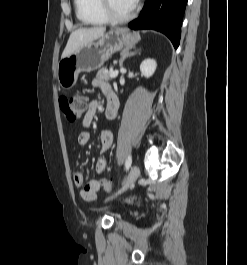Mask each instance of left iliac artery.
Returning a JSON list of instances; mask_svg holds the SVG:
<instances>
[{
  "instance_id": "obj_1",
  "label": "left iliac artery",
  "mask_w": 247,
  "mask_h": 265,
  "mask_svg": "<svg viewBox=\"0 0 247 265\" xmlns=\"http://www.w3.org/2000/svg\"><path fill=\"white\" fill-rule=\"evenodd\" d=\"M131 164H132V158H131V156H128V158L126 159V162H125L126 170H129V168L131 167Z\"/></svg>"
}]
</instances>
